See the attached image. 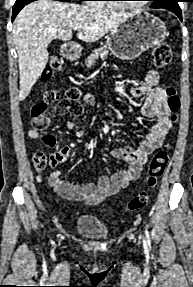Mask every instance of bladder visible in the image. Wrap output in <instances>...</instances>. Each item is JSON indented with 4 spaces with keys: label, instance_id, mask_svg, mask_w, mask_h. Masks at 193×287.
<instances>
[{
    "label": "bladder",
    "instance_id": "obj_1",
    "mask_svg": "<svg viewBox=\"0 0 193 287\" xmlns=\"http://www.w3.org/2000/svg\"><path fill=\"white\" fill-rule=\"evenodd\" d=\"M75 230L88 239H105L109 235L106 224L93 214H81L76 218Z\"/></svg>",
    "mask_w": 193,
    "mask_h": 287
}]
</instances>
